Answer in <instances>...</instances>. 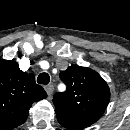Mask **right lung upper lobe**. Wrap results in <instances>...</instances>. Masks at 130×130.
<instances>
[{
	"label": "right lung upper lobe",
	"instance_id": "right-lung-upper-lobe-1",
	"mask_svg": "<svg viewBox=\"0 0 130 130\" xmlns=\"http://www.w3.org/2000/svg\"><path fill=\"white\" fill-rule=\"evenodd\" d=\"M46 97L33 74L21 71L14 60L0 59V128L12 129L23 124L32 103Z\"/></svg>",
	"mask_w": 130,
	"mask_h": 130
}]
</instances>
